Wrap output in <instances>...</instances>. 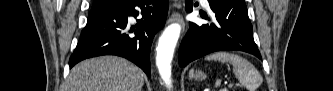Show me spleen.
<instances>
[{"label": "spleen", "instance_id": "spleen-1", "mask_svg": "<svg viewBox=\"0 0 333 91\" xmlns=\"http://www.w3.org/2000/svg\"><path fill=\"white\" fill-rule=\"evenodd\" d=\"M207 61L228 62L233 66V73L239 80L241 86L248 91H256L262 84L263 78L258 70L245 58L229 52H216L205 57ZM194 70H190L189 77L192 78Z\"/></svg>", "mask_w": 333, "mask_h": 91}]
</instances>
